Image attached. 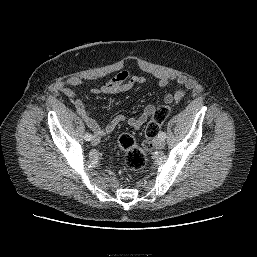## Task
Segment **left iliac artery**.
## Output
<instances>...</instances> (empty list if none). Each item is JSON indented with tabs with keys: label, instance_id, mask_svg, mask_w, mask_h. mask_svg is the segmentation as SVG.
<instances>
[{
	"label": "left iliac artery",
	"instance_id": "obj_1",
	"mask_svg": "<svg viewBox=\"0 0 257 257\" xmlns=\"http://www.w3.org/2000/svg\"><path fill=\"white\" fill-rule=\"evenodd\" d=\"M158 137L160 138V139H166V133L165 132H160L159 134H158Z\"/></svg>",
	"mask_w": 257,
	"mask_h": 257
}]
</instances>
